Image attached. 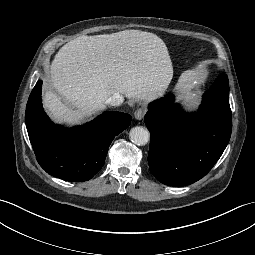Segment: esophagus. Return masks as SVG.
<instances>
[{"mask_svg":"<svg viewBox=\"0 0 255 255\" xmlns=\"http://www.w3.org/2000/svg\"><path fill=\"white\" fill-rule=\"evenodd\" d=\"M146 111L144 108H138L135 113H134V117L137 120H142L144 118Z\"/></svg>","mask_w":255,"mask_h":255,"instance_id":"1","label":"esophagus"}]
</instances>
